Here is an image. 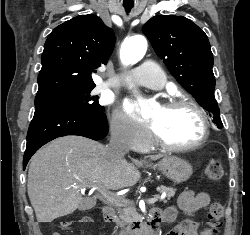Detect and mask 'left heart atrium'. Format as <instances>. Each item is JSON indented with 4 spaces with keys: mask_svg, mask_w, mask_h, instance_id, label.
Returning a JSON list of instances; mask_svg holds the SVG:
<instances>
[{
    "mask_svg": "<svg viewBox=\"0 0 250 235\" xmlns=\"http://www.w3.org/2000/svg\"><path fill=\"white\" fill-rule=\"evenodd\" d=\"M126 110L130 113V114H134L135 112V105L133 103L127 102L125 104Z\"/></svg>",
    "mask_w": 250,
    "mask_h": 235,
    "instance_id": "39dd6f15",
    "label": "left heart atrium"
}]
</instances>
